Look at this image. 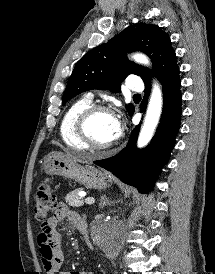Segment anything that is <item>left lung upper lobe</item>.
I'll list each match as a JSON object with an SVG mask.
<instances>
[{"mask_svg": "<svg viewBox=\"0 0 215 274\" xmlns=\"http://www.w3.org/2000/svg\"><path fill=\"white\" fill-rule=\"evenodd\" d=\"M131 51L146 53L153 61V71L159 79L178 66L170 37L158 25H130L77 62L68 80L62 105L73 96L91 89L119 92L120 83L129 74L138 75L145 84L149 83V70L127 59L126 54ZM126 109L131 114L134 106L128 104Z\"/></svg>", "mask_w": 215, "mask_h": 274, "instance_id": "5c2ea615", "label": "left lung upper lobe"}]
</instances>
